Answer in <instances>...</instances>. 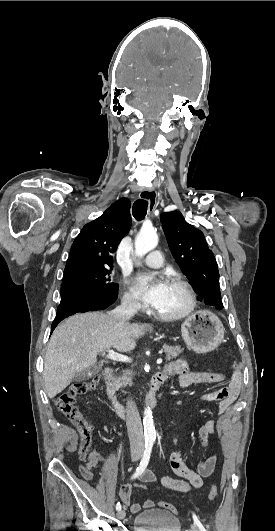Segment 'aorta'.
Masks as SVG:
<instances>
[{
    "label": "aorta",
    "instance_id": "aorta-1",
    "mask_svg": "<svg viewBox=\"0 0 275 531\" xmlns=\"http://www.w3.org/2000/svg\"><path fill=\"white\" fill-rule=\"evenodd\" d=\"M158 245V237L154 229H147V231H140L135 241V255L136 257H144L149 251H153ZM144 431L148 437H156L152 411L150 407L144 409L143 417Z\"/></svg>",
    "mask_w": 275,
    "mask_h": 531
}]
</instances>
